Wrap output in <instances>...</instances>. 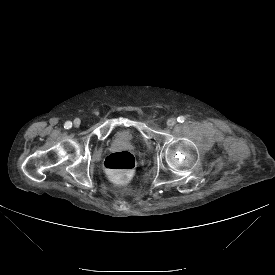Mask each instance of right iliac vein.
I'll use <instances>...</instances> for the list:
<instances>
[{"label": "right iliac vein", "mask_w": 275, "mask_h": 275, "mask_svg": "<svg viewBox=\"0 0 275 275\" xmlns=\"http://www.w3.org/2000/svg\"><path fill=\"white\" fill-rule=\"evenodd\" d=\"M74 126L77 128L80 126V120L79 119H75L74 120Z\"/></svg>", "instance_id": "1"}]
</instances>
